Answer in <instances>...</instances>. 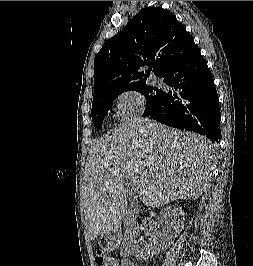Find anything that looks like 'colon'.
Masks as SVG:
<instances>
[{
	"label": "colon",
	"mask_w": 253,
	"mask_h": 266,
	"mask_svg": "<svg viewBox=\"0 0 253 266\" xmlns=\"http://www.w3.org/2000/svg\"><path fill=\"white\" fill-rule=\"evenodd\" d=\"M95 264L96 266H117V259L103 251H98L95 256Z\"/></svg>",
	"instance_id": "1"
}]
</instances>
